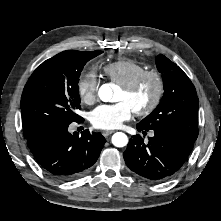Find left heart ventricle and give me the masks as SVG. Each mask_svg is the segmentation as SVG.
I'll list each match as a JSON object with an SVG mask.
<instances>
[{
  "label": "left heart ventricle",
  "mask_w": 221,
  "mask_h": 221,
  "mask_svg": "<svg viewBox=\"0 0 221 221\" xmlns=\"http://www.w3.org/2000/svg\"><path fill=\"white\" fill-rule=\"evenodd\" d=\"M155 92V83L152 79L144 81L136 90L132 92L119 89L115 96V101H125L135 111L148 105Z\"/></svg>",
  "instance_id": "left-heart-ventricle-1"
}]
</instances>
